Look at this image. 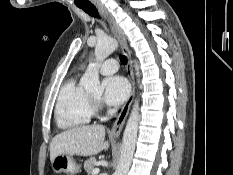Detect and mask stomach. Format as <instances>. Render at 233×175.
<instances>
[{"label":"stomach","instance_id":"0dacf381","mask_svg":"<svg viewBox=\"0 0 233 175\" xmlns=\"http://www.w3.org/2000/svg\"><path fill=\"white\" fill-rule=\"evenodd\" d=\"M51 165L55 173L74 175L80 171V165L76 164L71 155H58L54 158Z\"/></svg>","mask_w":233,"mask_h":175}]
</instances>
